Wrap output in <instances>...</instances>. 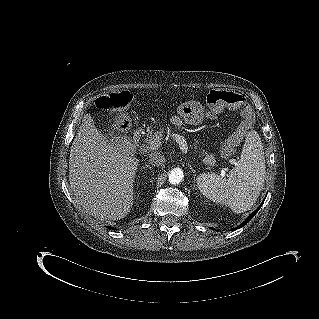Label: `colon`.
I'll return each mask as SVG.
<instances>
[{
    "instance_id": "colon-1",
    "label": "colon",
    "mask_w": 319,
    "mask_h": 319,
    "mask_svg": "<svg viewBox=\"0 0 319 319\" xmlns=\"http://www.w3.org/2000/svg\"><path fill=\"white\" fill-rule=\"evenodd\" d=\"M133 102V96L128 91L109 93L100 96L96 100V105L107 111L110 115H115V122L113 130L117 133L126 132L131 124L129 116L124 110ZM206 102L211 107H218L221 105L241 106L243 98L234 91L228 90H213L207 97ZM247 110H244L246 113ZM245 126L242 125L238 131L224 142L220 147V152L223 157H230L235 153V145L240 142L244 135Z\"/></svg>"
}]
</instances>
